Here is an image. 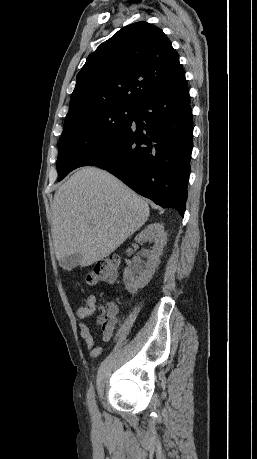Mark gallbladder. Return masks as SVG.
I'll use <instances>...</instances> for the list:
<instances>
[{"label":"gallbladder","mask_w":257,"mask_h":459,"mask_svg":"<svg viewBox=\"0 0 257 459\" xmlns=\"http://www.w3.org/2000/svg\"><path fill=\"white\" fill-rule=\"evenodd\" d=\"M79 261L80 255L78 253H74L71 255H67L63 259H61L60 264L69 269H73L79 264Z\"/></svg>","instance_id":"gallbladder-1"}]
</instances>
